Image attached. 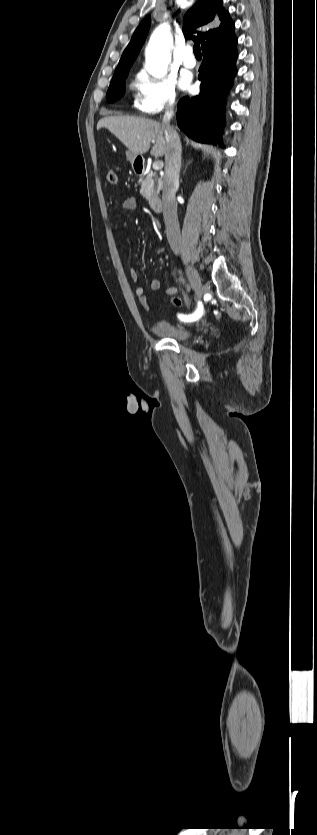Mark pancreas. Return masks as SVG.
<instances>
[{"instance_id": "1", "label": "pancreas", "mask_w": 317, "mask_h": 835, "mask_svg": "<svg viewBox=\"0 0 317 835\" xmlns=\"http://www.w3.org/2000/svg\"><path fill=\"white\" fill-rule=\"evenodd\" d=\"M140 183V194L149 201V204L158 199L162 180L156 177L155 172H149L144 179L140 180Z\"/></svg>"}]
</instances>
